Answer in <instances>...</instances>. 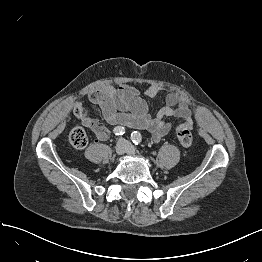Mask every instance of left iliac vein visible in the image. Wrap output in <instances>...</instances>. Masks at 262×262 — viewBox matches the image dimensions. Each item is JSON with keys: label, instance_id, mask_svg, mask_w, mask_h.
<instances>
[{"label": "left iliac vein", "instance_id": "4c4485c4", "mask_svg": "<svg viewBox=\"0 0 262 262\" xmlns=\"http://www.w3.org/2000/svg\"><path fill=\"white\" fill-rule=\"evenodd\" d=\"M126 143H127V151L126 152L130 155H133L135 153L134 147L131 144H129L127 141H126Z\"/></svg>", "mask_w": 262, "mask_h": 262}]
</instances>
